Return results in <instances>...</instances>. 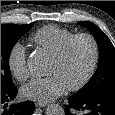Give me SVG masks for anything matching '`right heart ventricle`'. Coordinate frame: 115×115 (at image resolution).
<instances>
[{
	"label": "right heart ventricle",
	"mask_w": 115,
	"mask_h": 115,
	"mask_svg": "<svg viewBox=\"0 0 115 115\" xmlns=\"http://www.w3.org/2000/svg\"><path fill=\"white\" fill-rule=\"evenodd\" d=\"M75 35L72 31L56 25H47L34 33L32 42L47 55L52 57L61 45Z\"/></svg>",
	"instance_id": "1"
}]
</instances>
